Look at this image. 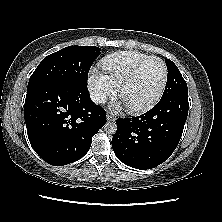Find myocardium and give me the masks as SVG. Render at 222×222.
I'll return each instance as SVG.
<instances>
[{"label":"myocardium","instance_id":"obj_1","mask_svg":"<svg viewBox=\"0 0 222 222\" xmlns=\"http://www.w3.org/2000/svg\"><path fill=\"white\" fill-rule=\"evenodd\" d=\"M152 60H157L162 64V67H163L162 84H161L158 92L156 93V95L152 99H150L148 102H146L142 105H139V106H127L126 105L127 110L132 114H140V113H144V112L150 110L152 107H154L159 102V100L161 99V97L165 91L167 81H168L167 65L164 62V60H162L161 58H159L157 56H150V57L146 58L145 60H143L142 62H140L134 68V70L126 77V79L120 84L119 90H118L119 96L122 98L124 90L136 80V78L138 77V75L141 72V70L143 69V67Z\"/></svg>","mask_w":222,"mask_h":222}]
</instances>
